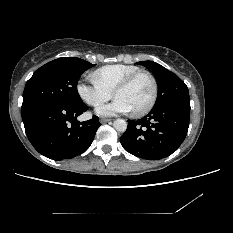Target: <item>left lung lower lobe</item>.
Masks as SVG:
<instances>
[{"label":"left lung lower lobe","mask_w":233,"mask_h":233,"mask_svg":"<svg viewBox=\"0 0 233 233\" xmlns=\"http://www.w3.org/2000/svg\"><path fill=\"white\" fill-rule=\"evenodd\" d=\"M190 117V99L153 108L145 117L129 120L120 142L125 150L148 160L162 159L184 141Z\"/></svg>","instance_id":"left-lung-lower-lobe-1"}]
</instances>
